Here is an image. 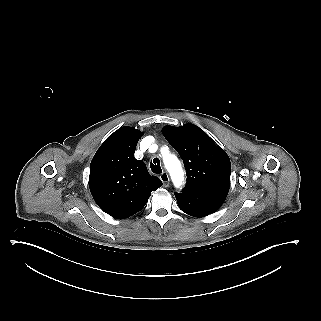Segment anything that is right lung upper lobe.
<instances>
[{
	"mask_svg": "<svg viewBox=\"0 0 321 321\" xmlns=\"http://www.w3.org/2000/svg\"><path fill=\"white\" fill-rule=\"evenodd\" d=\"M141 136L135 128L121 127L104 141L90 164L91 194L104 212L117 219L139 212L151 192L162 186L145 163L134 158Z\"/></svg>",
	"mask_w": 321,
	"mask_h": 321,
	"instance_id": "cb5924a9",
	"label": "right lung upper lobe"
}]
</instances>
